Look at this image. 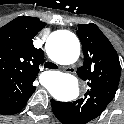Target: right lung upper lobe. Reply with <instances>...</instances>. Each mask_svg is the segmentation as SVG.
<instances>
[{
	"instance_id": "cb5924a9",
	"label": "right lung upper lobe",
	"mask_w": 124,
	"mask_h": 124,
	"mask_svg": "<svg viewBox=\"0 0 124 124\" xmlns=\"http://www.w3.org/2000/svg\"><path fill=\"white\" fill-rule=\"evenodd\" d=\"M45 25L20 16L0 28V113L24 106L35 91L44 53L34 47L33 38Z\"/></svg>"
}]
</instances>
